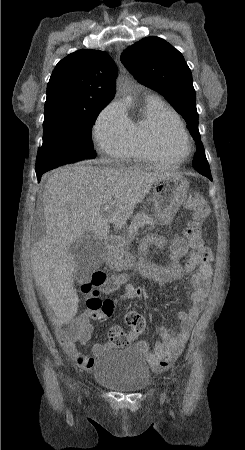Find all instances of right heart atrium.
<instances>
[{
  "mask_svg": "<svg viewBox=\"0 0 245 450\" xmlns=\"http://www.w3.org/2000/svg\"><path fill=\"white\" fill-rule=\"evenodd\" d=\"M92 135L95 145L106 157L120 161L129 157L131 119L120 102L113 101L100 112Z\"/></svg>",
  "mask_w": 245,
  "mask_h": 450,
  "instance_id": "obj_1",
  "label": "right heart atrium"
}]
</instances>
